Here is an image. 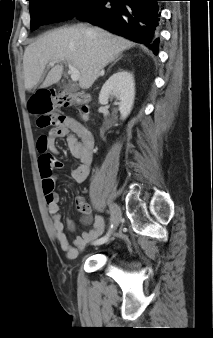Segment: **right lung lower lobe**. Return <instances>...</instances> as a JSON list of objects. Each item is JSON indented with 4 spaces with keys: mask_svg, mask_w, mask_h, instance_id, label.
<instances>
[{
    "mask_svg": "<svg viewBox=\"0 0 213 338\" xmlns=\"http://www.w3.org/2000/svg\"><path fill=\"white\" fill-rule=\"evenodd\" d=\"M160 1L96 0L75 17L148 46L158 53Z\"/></svg>",
    "mask_w": 213,
    "mask_h": 338,
    "instance_id": "right-lung-lower-lobe-1",
    "label": "right lung lower lobe"
}]
</instances>
